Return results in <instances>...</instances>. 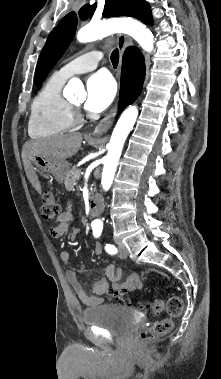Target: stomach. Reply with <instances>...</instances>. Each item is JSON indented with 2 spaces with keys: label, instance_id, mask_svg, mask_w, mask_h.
<instances>
[{
  "label": "stomach",
  "instance_id": "1",
  "mask_svg": "<svg viewBox=\"0 0 221 379\" xmlns=\"http://www.w3.org/2000/svg\"><path fill=\"white\" fill-rule=\"evenodd\" d=\"M35 169L52 174L58 183H62L69 171V163L66 160L54 159L37 155L32 158Z\"/></svg>",
  "mask_w": 221,
  "mask_h": 379
}]
</instances>
